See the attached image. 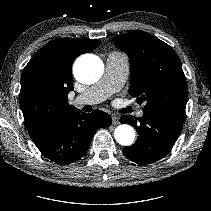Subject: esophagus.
Instances as JSON below:
<instances>
[{
	"instance_id": "1",
	"label": "esophagus",
	"mask_w": 211,
	"mask_h": 211,
	"mask_svg": "<svg viewBox=\"0 0 211 211\" xmlns=\"http://www.w3.org/2000/svg\"><path fill=\"white\" fill-rule=\"evenodd\" d=\"M112 123H113L114 125H118V124H119V118H118L117 116H113V117H112Z\"/></svg>"
}]
</instances>
